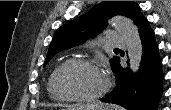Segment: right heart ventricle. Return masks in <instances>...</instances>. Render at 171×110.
Here are the masks:
<instances>
[{
    "label": "right heart ventricle",
    "mask_w": 171,
    "mask_h": 110,
    "mask_svg": "<svg viewBox=\"0 0 171 110\" xmlns=\"http://www.w3.org/2000/svg\"><path fill=\"white\" fill-rule=\"evenodd\" d=\"M50 79H51V78H50ZM48 91H49V93H50V95H51V97H52L53 99H55V100H61V99L57 98V97L54 95V93L52 92L50 80H49V82H48Z\"/></svg>",
    "instance_id": "1"
}]
</instances>
